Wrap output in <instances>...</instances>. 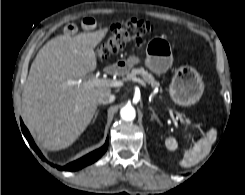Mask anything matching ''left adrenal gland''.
<instances>
[{
    "label": "left adrenal gland",
    "mask_w": 245,
    "mask_h": 195,
    "mask_svg": "<svg viewBox=\"0 0 245 195\" xmlns=\"http://www.w3.org/2000/svg\"><path fill=\"white\" fill-rule=\"evenodd\" d=\"M149 110L152 112L151 120H156L158 123H160L158 116L156 115L154 109L151 106H149Z\"/></svg>",
    "instance_id": "left-adrenal-gland-1"
}]
</instances>
